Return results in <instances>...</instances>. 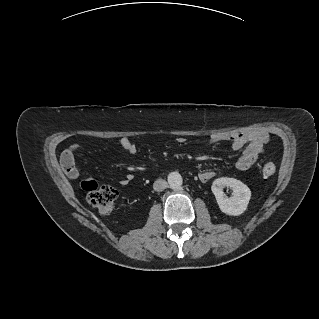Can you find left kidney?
Listing matches in <instances>:
<instances>
[{
	"label": "left kidney",
	"mask_w": 319,
	"mask_h": 319,
	"mask_svg": "<svg viewBox=\"0 0 319 319\" xmlns=\"http://www.w3.org/2000/svg\"><path fill=\"white\" fill-rule=\"evenodd\" d=\"M226 187L233 191L231 197L223 192ZM211 190L220 210L231 216L241 215L247 209L251 198V191L248 186L235 178H218L213 182Z\"/></svg>",
	"instance_id": "5707ae66"
}]
</instances>
